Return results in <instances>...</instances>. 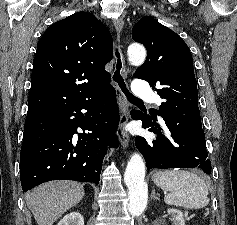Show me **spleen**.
<instances>
[{"label":"spleen","instance_id":"3e777b00","mask_svg":"<svg viewBox=\"0 0 237 225\" xmlns=\"http://www.w3.org/2000/svg\"><path fill=\"white\" fill-rule=\"evenodd\" d=\"M152 179L159 188L169 191L164 197L168 205L200 209L209 203L207 184L195 173L177 169L156 171Z\"/></svg>","mask_w":237,"mask_h":225}]
</instances>
